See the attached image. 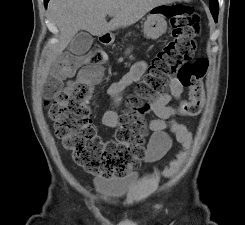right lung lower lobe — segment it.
Wrapping results in <instances>:
<instances>
[{"label":"right lung lower lobe","instance_id":"98d812e1","mask_svg":"<svg viewBox=\"0 0 245 225\" xmlns=\"http://www.w3.org/2000/svg\"><path fill=\"white\" fill-rule=\"evenodd\" d=\"M49 2V0H44V4H45V7L47 8V3Z\"/></svg>","mask_w":245,"mask_h":225}]
</instances>
